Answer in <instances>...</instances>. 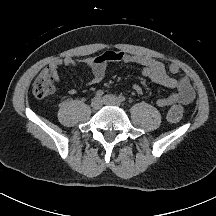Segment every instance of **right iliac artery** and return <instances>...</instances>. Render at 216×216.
<instances>
[{"label": "right iliac artery", "instance_id": "right-iliac-artery-1", "mask_svg": "<svg viewBox=\"0 0 216 216\" xmlns=\"http://www.w3.org/2000/svg\"><path fill=\"white\" fill-rule=\"evenodd\" d=\"M103 94H104V92H103L102 90H98V91L95 93V96L98 97V98H100V97L103 96Z\"/></svg>", "mask_w": 216, "mask_h": 216}]
</instances>
